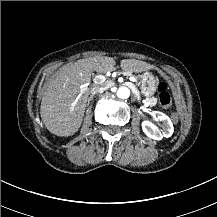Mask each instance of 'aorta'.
I'll use <instances>...</instances> for the list:
<instances>
[{"instance_id": "762f6f07", "label": "aorta", "mask_w": 217, "mask_h": 217, "mask_svg": "<svg viewBox=\"0 0 217 217\" xmlns=\"http://www.w3.org/2000/svg\"><path fill=\"white\" fill-rule=\"evenodd\" d=\"M129 95H130V90L125 86L119 87L116 91V96L119 99H126L129 97Z\"/></svg>"}]
</instances>
